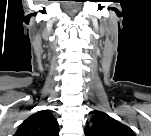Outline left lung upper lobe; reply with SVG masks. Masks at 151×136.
Returning <instances> with one entry per match:
<instances>
[{"label":"left lung upper lobe","mask_w":151,"mask_h":136,"mask_svg":"<svg viewBox=\"0 0 151 136\" xmlns=\"http://www.w3.org/2000/svg\"><path fill=\"white\" fill-rule=\"evenodd\" d=\"M92 127H86L88 136H134L130 127L105 113H97L91 119Z\"/></svg>","instance_id":"obj_1"}]
</instances>
